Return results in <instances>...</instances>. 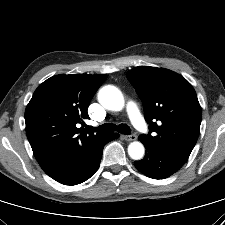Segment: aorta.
Segmentation results:
<instances>
[{
    "label": "aorta",
    "instance_id": "obj_1",
    "mask_svg": "<svg viewBox=\"0 0 225 225\" xmlns=\"http://www.w3.org/2000/svg\"><path fill=\"white\" fill-rule=\"evenodd\" d=\"M99 103L108 110L120 111L124 107V97L121 91L112 85L102 87L98 93ZM145 153L144 146L141 142L135 141L129 144L128 154L134 160H140Z\"/></svg>",
    "mask_w": 225,
    "mask_h": 225
}]
</instances>
